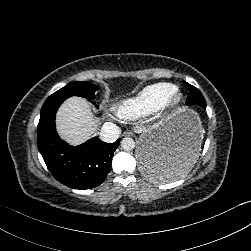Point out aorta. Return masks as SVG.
<instances>
[{"mask_svg":"<svg viewBox=\"0 0 251 251\" xmlns=\"http://www.w3.org/2000/svg\"><path fill=\"white\" fill-rule=\"evenodd\" d=\"M121 147L124 150H132L135 147V142L130 137H125L121 140Z\"/></svg>","mask_w":251,"mask_h":251,"instance_id":"aorta-1","label":"aorta"}]
</instances>
